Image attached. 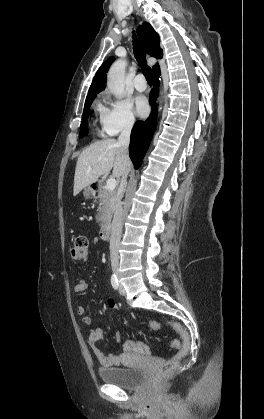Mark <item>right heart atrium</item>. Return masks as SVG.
I'll list each match as a JSON object with an SVG mask.
<instances>
[{"label":"right heart atrium","instance_id":"right-heart-atrium-1","mask_svg":"<svg viewBox=\"0 0 264 419\" xmlns=\"http://www.w3.org/2000/svg\"><path fill=\"white\" fill-rule=\"evenodd\" d=\"M103 131L109 136L130 131L135 124V116L130 101L126 99L113 100L108 108L101 113Z\"/></svg>","mask_w":264,"mask_h":419}]
</instances>
